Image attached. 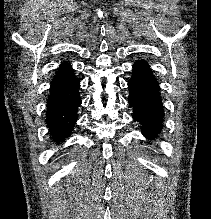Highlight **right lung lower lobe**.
<instances>
[{"label":"right lung lower lobe","instance_id":"1","mask_svg":"<svg viewBox=\"0 0 211 219\" xmlns=\"http://www.w3.org/2000/svg\"><path fill=\"white\" fill-rule=\"evenodd\" d=\"M79 87L70 64L63 63L52 80L46 111V124L56 143L69 137L78 119Z\"/></svg>","mask_w":211,"mask_h":219}]
</instances>
